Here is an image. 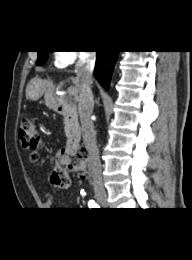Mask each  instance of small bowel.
<instances>
[{
  "instance_id": "obj_1",
  "label": "small bowel",
  "mask_w": 192,
  "mask_h": 260,
  "mask_svg": "<svg viewBox=\"0 0 192 260\" xmlns=\"http://www.w3.org/2000/svg\"><path fill=\"white\" fill-rule=\"evenodd\" d=\"M52 203H53V195L50 191H47L45 193V199L43 205L45 208H50L52 206Z\"/></svg>"
}]
</instances>
